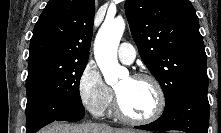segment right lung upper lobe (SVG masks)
I'll use <instances>...</instances> for the list:
<instances>
[{
	"instance_id": "1",
	"label": "right lung upper lobe",
	"mask_w": 221,
	"mask_h": 133,
	"mask_svg": "<svg viewBox=\"0 0 221 133\" xmlns=\"http://www.w3.org/2000/svg\"><path fill=\"white\" fill-rule=\"evenodd\" d=\"M94 12V0H50L33 30L28 75L87 62Z\"/></svg>"
}]
</instances>
